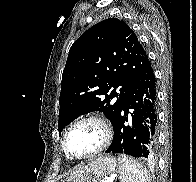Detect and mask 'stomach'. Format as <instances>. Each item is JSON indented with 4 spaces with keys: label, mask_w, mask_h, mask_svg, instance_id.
I'll return each instance as SVG.
<instances>
[{
    "label": "stomach",
    "mask_w": 196,
    "mask_h": 182,
    "mask_svg": "<svg viewBox=\"0 0 196 182\" xmlns=\"http://www.w3.org/2000/svg\"><path fill=\"white\" fill-rule=\"evenodd\" d=\"M117 169V161L113 156L100 155L68 174L61 182H93L92 177L97 178L112 174Z\"/></svg>",
    "instance_id": "1"
}]
</instances>
